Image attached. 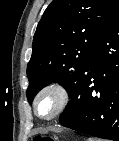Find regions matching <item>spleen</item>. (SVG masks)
<instances>
[{
  "mask_svg": "<svg viewBox=\"0 0 119 141\" xmlns=\"http://www.w3.org/2000/svg\"><path fill=\"white\" fill-rule=\"evenodd\" d=\"M88 141H95L94 139H88Z\"/></svg>",
  "mask_w": 119,
  "mask_h": 141,
  "instance_id": "3e777b00",
  "label": "spleen"
}]
</instances>
